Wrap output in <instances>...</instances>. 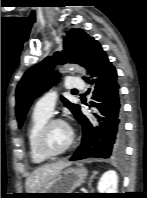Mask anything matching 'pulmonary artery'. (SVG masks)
I'll use <instances>...</instances> for the list:
<instances>
[{"label":"pulmonary artery","instance_id":"e3ab8cb5","mask_svg":"<svg viewBox=\"0 0 147 198\" xmlns=\"http://www.w3.org/2000/svg\"><path fill=\"white\" fill-rule=\"evenodd\" d=\"M66 88L71 89H83L84 83L81 79L77 77H72L68 79L66 83ZM57 101V93L55 91H50L42 96L34 106V112L46 116H51L53 114L55 105Z\"/></svg>","mask_w":147,"mask_h":198}]
</instances>
